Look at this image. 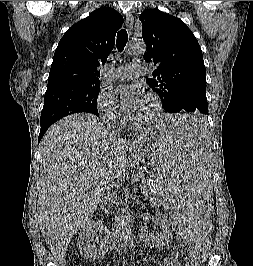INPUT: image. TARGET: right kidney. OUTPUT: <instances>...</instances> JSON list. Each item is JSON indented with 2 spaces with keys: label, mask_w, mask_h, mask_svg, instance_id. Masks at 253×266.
Segmentation results:
<instances>
[{
  "label": "right kidney",
  "mask_w": 253,
  "mask_h": 266,
  "mask_svg": "<svg viewBox=\"0 0 253 266\" xmlns=\"http://www.w3.org/2000/svg\"><path fill=\"white\" fill-rule=\"evenodd\" d=\"M108 243L109 231L107 228L95 221H88L79 232L77 245L85 258L95 260L106 254Z\"/></svg>",
  "instance_id": "obj_1"
}]
</instances>
